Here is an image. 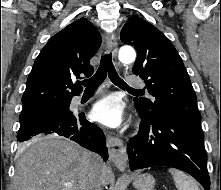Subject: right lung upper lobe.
<instances>
[{
    "label": "right lung upper lobe",
    "instance_id": "obj_1",
    "mask_svg": "<svg viewBox=\"0 0 221 190\" xmlns=\"http://www.w3.org/2000/svg\"><path fill=\"white\" fill-rule=\"evenodd\" d=\"M101 44L95 26L81 18L55 34L44 46L29 74L22 97L23 108L71 100L82 87L74 80L90 76V59Z\"/></svg>",
    "mask_w": 221,
    "mask_h": 190
}]
</instances>
